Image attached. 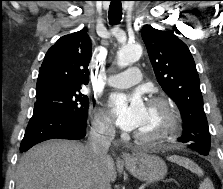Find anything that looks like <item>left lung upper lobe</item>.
Here are the masks:
<instances>
[{"label": "left lung upper lobe", "mask_w": 223, "mask_h": 189, "mask_svg": "<svg viewBox=\"0 0 223 189\" xmlns=\"http://www.w3.org/2000/svg\"><path fill=\"white\" fill-rule=\"evenodd\" d=\"M157 81L177 104L182 120L180 142L192 141L191 147L209 153L211 137L203 109L199 76L187 45L176 35L146 25L142 30Z\"/></svg>", "instance_id": "obj_1"}]
</instances>
